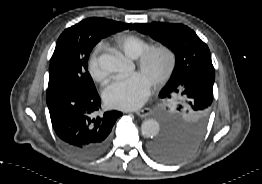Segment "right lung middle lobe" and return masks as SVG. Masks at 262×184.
Listing matches in <instances>:
<instances>
[{"mask_svg": "<svg viewBox=\"0 0 262 184\" xmlns=\"http://www.w3.org/2000/svg\"><path fill=\"white\" fill-rule=\"evenodd\" d=\"M121 30L91 19L67 28L60 35L51 58L48 87L66 86L96 91L87 71L89 54L102 38Z\"/></svg>", "mask_w": 262, "mask_h": 184, "instance_id": "right-lung-middle-lobe-1", "label": "right lung middle lobe"}]
</instances>
